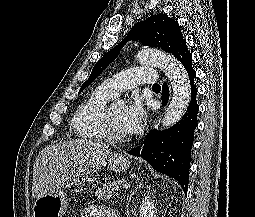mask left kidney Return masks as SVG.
Segmentation results:
<instances>
[{"label":"left kidney","mask_w":255,"mask_h":217,"mask_svg":"<svg viewBox=\"0 0 255 217\" xmlns=\"http://www.w3.org/2000/svg\"><path fill=\"white\" fill-rule=\"evenodd\" d=\"M140 217H157L156 205L150 196H146L139 209Z\"/></svg>","instance_id":"5707ae66"}]
</instances>
